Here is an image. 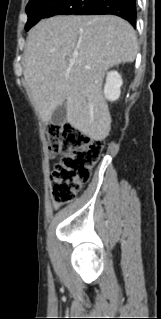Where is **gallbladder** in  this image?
Listing matches in <instances>:
<instances>
[{"mask_svg": "<svg viewBox=\"0 0 161 319\" xmlns=\"http://www.w3.org/2000/svg\"><path fill=\"white\" fill-rule=\"evenodd\" d=\"M67 107L66 103L58 105L56 109L53 111L51 123L54 125H61L66 121Z\"/></svg>", "mask_w": 161, "mask_h": 319, "instance_id": "obj_1", "label": "gallbladder"}]
</instances>
